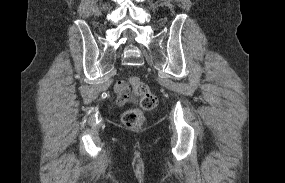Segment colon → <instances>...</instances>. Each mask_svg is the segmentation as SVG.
Returning <instances> with one entry per match:
<instances>
[{
    "mask_svg": "<svg viewBox=\"0 0 285 183\" xmlns=\"http://www.w3.org/2000/svg\"><path fill=\"white\" fill-rule=\"evenodd\" d=\"M128 82L134 95L139 99L141 109H129L123 113L124 124L130 129H138L145 122L143 111H151L157 105V97L150 88L136 76H130Z\"/></svg>",
    "mask_w": 285,
    "mask_h": 183,
    "instance_id": "obj_1",
    "label": "colon"
}]
</instances>
